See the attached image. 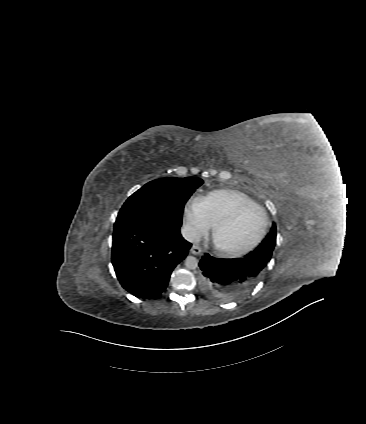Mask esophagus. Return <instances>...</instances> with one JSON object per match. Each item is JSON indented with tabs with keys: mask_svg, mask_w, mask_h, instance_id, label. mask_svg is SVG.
Returning <instances> with one entry per match:
<instances>
[{
	"mask_svg": "<svg viewBox=\"0 0 366 424\" xmlns=\"http://www.w3.org/2000/svg\"><path fill=\"white\" fill-rule=\"evenodd\" d=\"M190 252L194 255H200L202 253V249L198 246L193 245L190 249Z\"/></svg>",
	"mask_w": 366,
	"mask_h": 424,
	"instance_id": "esophagus-1",
	"label": "esophagus"
}]
</instances>
